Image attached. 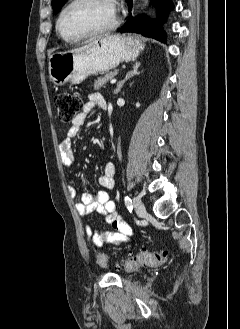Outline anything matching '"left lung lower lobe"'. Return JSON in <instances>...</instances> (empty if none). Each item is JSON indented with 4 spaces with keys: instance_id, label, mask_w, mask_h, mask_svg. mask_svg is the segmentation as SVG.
<instances>
[{
    "instance_id": "left-lung-lower-lobe-1",
    "label": "left lung lower lobe",
    "mask_w": 240,
    "mask_h": 329,
    "mask_svg": "<svg viewBox=\"0 0 240 329\" xmlns=\"http://www.w3.org/2000/svg\"><path fill=\"white\" fill-rule=\"evenodd\" d=\"M158 10V25L155 26L147 17L129 16L124 26L118 32H135L144 36L154 37L162 42L166 41V34L160 33L161 25L164 22L169 10L173 9L171 0H154ZM129 12L132 10V0H127Z\"/></svg>"
}]
</instances>
